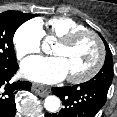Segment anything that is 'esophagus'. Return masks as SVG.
I'll use <instances>...</instances> for the list:
<instances>
[{
    "label": "esophagus",
    "instance_id": "obj_1",
    "mask_svg": "<svg viewBox=\"0 0 117 117\" xmlns=\"http://www.w3.org/2000/svg\"><path fill=\"white\" fill-rule=\"evenodd\" d=\"M32 89L40 96H45L49 93V91L46 87L37 85V84H33Z\"/></svg>",
    "mask_w": 117,
    "mask_h": 117
}]
</instances>
